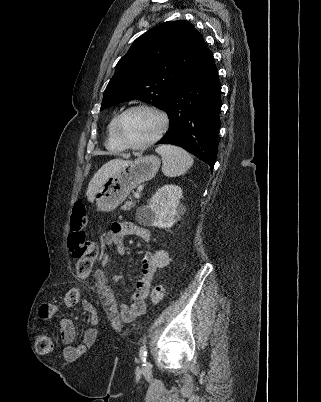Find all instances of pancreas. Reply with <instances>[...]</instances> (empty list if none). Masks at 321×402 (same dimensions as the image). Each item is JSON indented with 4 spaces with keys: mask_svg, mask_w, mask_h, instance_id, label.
Instances as JSON below:
<instances>
[{
    "mask_svg": "<svg viewBox=\"0 0 321 402\" xmlns=\"http://www.w3.org/2000/svg\"><path fill=\"white\" fill-rule=\"evenodd\" d=\"M135 206V202L131 201H127L125 202V204L122 206V210L126 211V210H130L131 208H133Z\"/></svg>",
    "mask_w": 321,
    "mask_h": 402,
    "instance_id": "pancreas-1",
    "label": "pancreas"
}]
</instances>
